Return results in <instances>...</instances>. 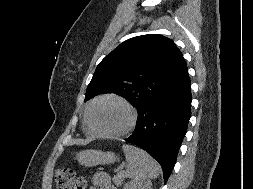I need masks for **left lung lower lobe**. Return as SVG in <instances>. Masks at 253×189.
I'll return each instance as SVG.
<instances>
[{
    "instance_id": "0a47b994",
    "label": "left lung lower lobe",
    "mask_w": 253,
    "mask_h": 189,
    "mask_svg": "<svg viewBox=\"0 0 253 189\" xmlns=\"http://www.w3.org/2000/svg\"><path fill=\"white\" fill-rule=\"evenodd\" d=\"M190 78L185 65L174 80L138 111L136 129L126 139L162 166L164 183L175 165L191 117Z\"/></svg>"
}]
</instances>
